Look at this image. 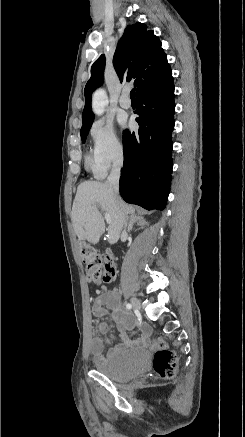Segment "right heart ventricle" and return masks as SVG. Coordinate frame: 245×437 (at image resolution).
<instances>
[{
	"label": "right heart ventricle",
	"instance_id": "1",
	"mask_svg": "<svg viewBox=\"0 0 245 437\" xmlns=\"http://www.w3.org/2000/svg\"><path fill=\"white\" fill-rule=\"evenodd\" d=\"M87 165L92 167V164H91V160H90V159L87 160Z\"/></svg>",
	"mask_w": 245,
	"mask_h": 437
}]
</instances>
